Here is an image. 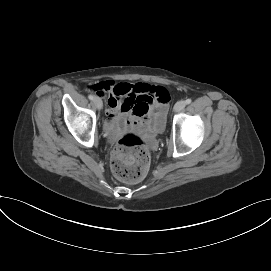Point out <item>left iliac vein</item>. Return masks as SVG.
I'll list each match as a JSON object with an SVG mask.
<instances>
[{"label": "left iliac vein", "instance_id": "left-iliac-vein-1", "mask_svg": "<svg viewBox=\"0 0 271 271\" xmlns=\"http://www.w3.org/2000/svg\"><path fill=\"white\" fill-rule=\"evenodd\" d=\"M186 106V102L183 100L178 101L175 106H174V111L175 112H180L181 110H183Z\"/></svg>", "mask_w": 271, "mask_h": 271}]
</instances>
